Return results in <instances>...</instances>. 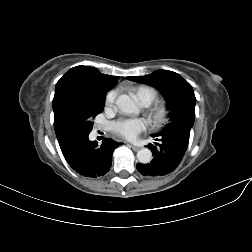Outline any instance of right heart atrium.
Masks as SVG:
<instances>
[{"instance_id": "right-heart-atrium-1", "label": "right heart atrium", "mask_w": 252, "mask_h": 252, "mask_svg": "<svg viewBox=\"0 0 252 252\" xmlns=\"http://www.w3.org/2000/svg\"><path fill=\"white\" fill-rule=\"evenodd\" d=\"M116 91H110L107 93L106 97H105V108L106 110H111L113 105H114V102H115V99H116Z\"/></svg>"}]
</instances>
